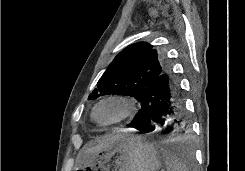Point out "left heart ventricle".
<instances>
[{"mask_svg":"<svg viewBox=\"0 0 245 171\" xmlns=\"http://www.w3.org/2000/svg\"><path fill=\"white\" fill-rule=\"evenodd\" d=\"M123 113V106L117 102H106L102 104L97 110V117L109 122L117 119Z\"/></svg>","mask_w":245,"mask_h":171,"instance_id":"left-heart-ventricle-1","label":"left heart ventricle"}]
</instances>
